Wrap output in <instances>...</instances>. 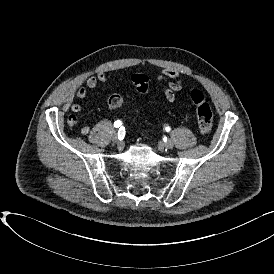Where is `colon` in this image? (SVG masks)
<instances>
[{
	"label": "colon",
	"instance_id": "colon-1",
	"mask_svg": "<svg viewBox=\"0 0 274 274\" xmlns=\"http://www.w3.org/2000/svg\"><path fill=\"white\" fill-rule=\"evenodd\" d=\"M131 83L141 92H145L148 89V78L145 74L137 73L132 75ZM190 99L196 109L199 131L202 134L209 133L212 127L213 114L209 104L205 100L204 95L199 90H193L190 94ZM121 102V99H114L110 104V107L117 108ZM67 122L70 127H73L78 124V118L75 115H70Z\"/></svg>",
	"mask_w": 274,
	"mask_h": 274
}]
</instances>
